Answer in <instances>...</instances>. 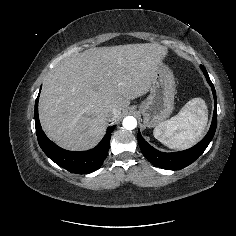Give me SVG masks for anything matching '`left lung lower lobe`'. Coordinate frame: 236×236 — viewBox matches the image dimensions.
<instances>
[{
    "instance_id": "0a47b994",
    "label": "left lung lower lobe",
    "mask_w": 236,
    "mask_h": 236,
    "mask_svg": "<svg viewBox=\"0 0 236 236\" xmlns=\"http://www.w3.org/2000/svg\"><path fill=\"white\" fill-rule=\"evenodd\" d=\"M201 69L207 79V82L211 86L213 97H214V113L213 120L210 126V129L206 136L195 146L190 149L174 152V153H164L156 150L150 144H148L138 131V142L140 149L144 155V157L149 160L153 165L168 169V170H179L187 167L191 163H193L207 148L209 143L214 137L216 126H217V112H216V92L213 83L211 82L206 69L201 65Z\"/></svg>"
}]
</instances>
